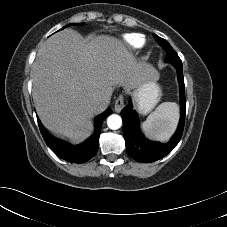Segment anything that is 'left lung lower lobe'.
Here are the masks:
<instances>
[{"label": "left lung lower lobe", "instance_id": "left-lung-lower-lobe-1", "mask_svg": "<svg viewBox=\"0 0 227 227\" xmlns=\"http://www.w3.org/2000/svg\"><path fill=\"white\" fill-rule=\"evenodd\" d=\"M176 69L178 72L180 87L181 117L178 128L168 143L161 144L159 142L149 141L144 137L140 131L138 116L133 110L131 100L121 112L123 119V135L126 142L127 152L136 161L154 162L163 158L173 150L182 137L186 113L185 85L182 68Z\"/></svg>", "mask_w": 227, "mask_h": 227}]
</instances>
